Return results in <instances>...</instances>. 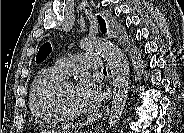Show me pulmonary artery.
Listing matches in <instances>:
<instances>
[{
	"label": "pulmonary artery",
	"mask_w": 184,
	"mask_h": 133,
	"mask_svg": "<svg viewBox=\"0 0 184 133\" xmlns=\"http://www.w3.org/2000/svg\"><path fill=\"white\" fill-rule=\"evenodd\" d=\"M56 69L62 76L78 73L84 69H102L101 58L92 54H74L57 61Z\"/></svg>",
	"instance_id": "obj_1"
}]
</instances>
